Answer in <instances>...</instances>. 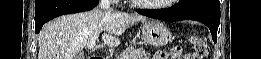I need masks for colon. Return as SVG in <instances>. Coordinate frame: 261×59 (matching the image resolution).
Segmentation results:
<instances>
[{"label": "colon", "instance_id": "obj_1", "mask_svg": "<svg viewBox=\"0 0 261 59\" xmlns=\"http://www.w3.org/2000/svg\"><path fill=\"white\" fill-rule=\"evenodd\" d=\"M192 44H193V47L196 51V55H194V57L192 58H204L207 53H208V46L206 44V42L202 39V38H199V37H194L192 38ZM168 55L171 57V58H184L183 55V52H182V49L181 47H173Z\"/></svg>", "mask_w": 261, "mask_h": 59}]
</instances>
